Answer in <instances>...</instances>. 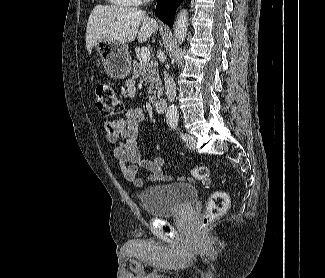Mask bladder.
Returning a JSON list of instances; mask_svg holds the SVG:
<instances>
[{
  "instance_id": "obj_1",
  "label": "bladder",
  "mask_w": 325,
  "mask_h": 278,
  "mask_svg": "<svg viewBox=\"0 0 325 278\" xmlns=\"http://www.w3.org/2000/svg\"><path fill=\"white\" fill-rule=\"evenodd\" d=\"M197 198L198 190L194 185L180 182L148 186L139 194L142 207L151 217L181 213Z\"/></svg>"
}]
</instances>
